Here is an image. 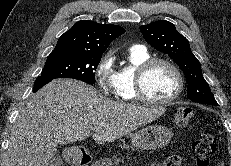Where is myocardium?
I'll return each instance as SVG.
<instances>
[{"label": "myocardium", "mask_w": 231, "mask_h": 166, "mask_svg": "<svg viewBox=\"0 0 231 166\" xmlns=\"http://www.w3.org/2000/svg\"><path fill=\"white\" fill-rule=\"evenodd\" d=\"M157 64L167 65L174 72L177 80V87L175 91L166 99H154L150 97L145 91V77L149 70ZM184 84V76L180 68L172 60L163 57L149 58L138 66L135 73L136 98L151 105L166 106L171 104L181 95L184 89Z\"/></svg>", "instance_id": "obj_1"}]
</instances>
